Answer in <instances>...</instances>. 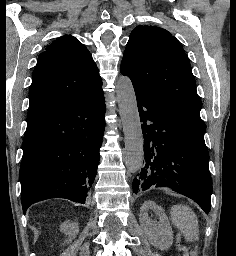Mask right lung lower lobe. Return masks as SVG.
<instances>
[{
  "instance_id": "1",
  "label": "right lung lower lobe",
  "mask_w": 236,
  "mask_h": 256,
  "mask_svg": "<svg viewBox=\"0 0 236 256\" xmlns=\"http://www.w3.org/2000/svg\"><path fill=\"white\" fill-rule=\"evenodd\" d=\"M102 87L27 126L20 167L23 213L50 198L85 203L104 134Z\"/></svg>"
}]
</instances>
